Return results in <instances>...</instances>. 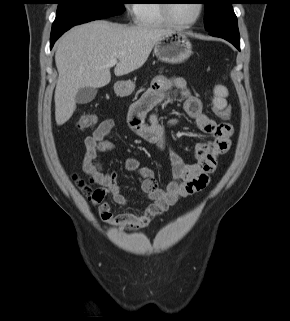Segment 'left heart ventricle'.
<instances>
[{
	"label": "left heart ventricle",
	"instance_id": "1",
	"mask_svg": "<svg viewBox=\"0 0 290 321\" xmlns=\"http://www.w3.org/2000/svg\"><path fill=\"white\" fill-rule=\"evenodd\" d=\"M171 14L179 22H188L197 14V1L179 0L172 4Z\"/></svg>",
	"mask_w": 290,
	"mask_h": 321
}]
</instances>
